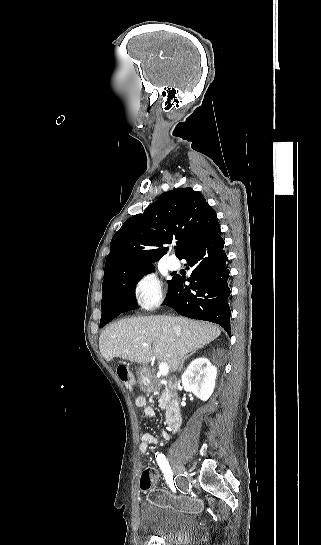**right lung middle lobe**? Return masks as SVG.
I'll use <instances>...</instances> for the list:
<instances>
[{
	"label": "right lung middle lobe",
	"instance_id": "dd1d6c3e",
	"mask_svg": "<svg viewBox=\"0 0 321 545\" xmlns=\"http://www.w3.org/2000/svg\"><path fill=\"white\" fill-rule=\"evenodd\" d=\"M151 271H154V268L151 267V268H148V269H145V270H142V271H139V272H136V273H133L131 275H128L127 277H125L123 279V281L118 285L116 286L115 288H111V289H103L102 290V305L105 304V302L107 301V299L113 295V294H116V295H131V296H135V286L136 284L138 283V281L146 274V273H149ZM170 281H168V283H170ZM104 326V318L101 317V320H100V327H103Z\"/></svg>",
	"mask_w": 321,
	"mask_h": 545
}]
</instances>
